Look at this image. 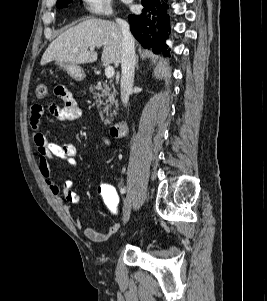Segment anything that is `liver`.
<instances>
[{
	"mask_svg": "<svg viewBox=\"0 0 267 301\" xmlns=\"http://www.w3.org/2000/svg\"><path fill=\"white\" fill-rule=\"evenodd\" d=\"M102 62H121L122 32L118 24L109 20L89 18L59 35L44 52L41 65L51 61L85 64L97 60L98 54L90 47H102Z\"/></svg>",
	"mask_w": 267,
	"mask_h": 301,
	"instance_id": "obj_1",
	"label": "liver"
}]
</instances>
